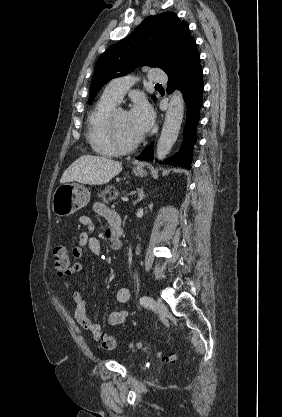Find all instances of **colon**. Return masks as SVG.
<instances>
[{
	"label": "colon",
	"mask_w": 282,
	"mask_h": 417,
	"mask_svg": "<svg viewBox=\"0 0 282 417\" xmlns=\"http://www.w3.org/2000/svg\"><path fill=\"white\" fill-rule=\"evenodd\" d=\"M54 267L60 275H70L75 271L76 264L70 260L66 248L64 246H56L53 250ZM102 346L106 353H111L115 346L114 339H103ZM138 349H148V345L138 343Z\"/></svg>",
	"instance_id": "colon-1"
}]
</instances>
